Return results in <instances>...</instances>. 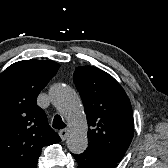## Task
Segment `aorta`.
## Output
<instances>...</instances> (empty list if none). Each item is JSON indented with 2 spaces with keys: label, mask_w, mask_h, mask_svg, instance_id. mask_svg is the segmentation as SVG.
<instances>
[{
  "label": "aorta",
  "mask_w": 168,
  "mask_h": 168,
  "mask_svg": "<svg viewBox=\"0 0 168 168\" xmlns=\"http://www.w3.org/2000/svg\"><path fill=\"white\" fill-rule=\"evenodd\" d=\"M49 97L68 122L70 128L66 141L68 149L74 154L84 152L88 146V127L80 97L73 88L65 84L53 85L49 90Z\"/></svg>",
  "instance_id": "obj_1"
}]
</instances>
